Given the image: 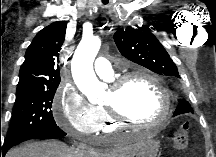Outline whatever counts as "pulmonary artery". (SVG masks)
I'll return each mask as SVG.
<instances>
[{"label":"pulmonary artery","mask_w":216,"mask_h":157,"mask_svg":"<svg viewBox=\"0 0 216 157\" xmlns=\"http://www.w3.org/2000/svg\"><path fill=\"white\" fill-rule=\"evenodd\" d=\"M94 70L98 76L103 79H111L113 69L110 61L105 57H98L94 62Z\"/></svg>","instance_id":"1"}]
</instances>
